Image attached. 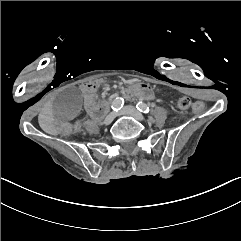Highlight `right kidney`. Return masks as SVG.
I'll use <instances>...</instances> for the list:
<instances>
[{"mask_svg": "<svg viewBox=\"0 0 241 241\" xmlns=\"http://www.w3.org/2000/svg\"><path fill=\"white\" fill-rule=\"evenodd\" d=\"M80 128H81V122L77 121L74 125V130L77 132L80 130Z\"/></svg>", "mask_w": 241, "mask_h": 241, "instance_id": "right-kidney-1", "label": "right kidney"}]
</instances>
